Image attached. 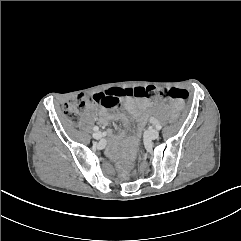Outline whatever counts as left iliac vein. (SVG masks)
<instances>
[{
    "label": "left iliac vein",
    "mask_w": 241,
    "mask_h": 241,
    "mask_svg": "<svg viewBox=\"0 0 241 241\" xmlns=\"http://www.w3.org/2000/svg\"><path fill=\"white\" fill-rule=\"evenodd\" d=\"M147 136L150 139H157L159 136V132L156 129H150L147 131Z\"/></svg>",
    "instance_id": "obj_1"
}]
</instances>
